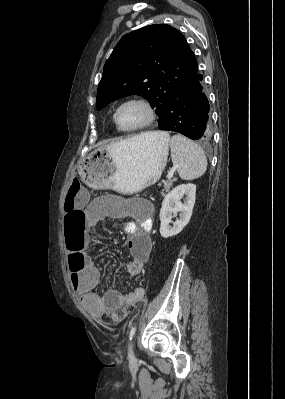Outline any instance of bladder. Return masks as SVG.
Wrapping results in <instances>:
<instances>
[{
  "instance_id": "1",
  "label": "bladder",
  "mask_w": 285,
  "mask_h": 399,
  "mask_svg": "<svg viewBox=\"0 0 285 399\" xmlns=\"http://www.w3.org/2000/svg\"><path fill=\"white\" fill-rule=\"evenodd\" d=\"M141 203H142L143 205H146V206L151 205V202H150L149 200H147V199L141 200Z\"/></svg>"
}]
</instances>
